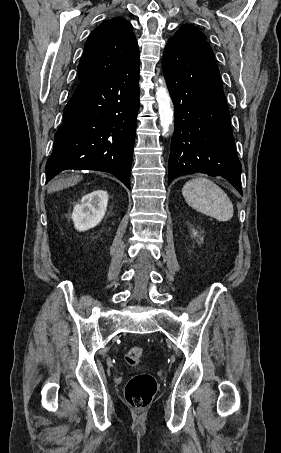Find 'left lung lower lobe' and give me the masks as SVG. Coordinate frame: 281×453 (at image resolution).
Returning <instances> with one entry per match:
<instances>
[{
	"label": "left lung lower lobe",
	"mask_w": 281,
	"mask_h": 453,
	"mask_svg": "<svg viewBox=\"0 0 281 453\" xmlns=\"http://www.w3.org/2000/svg\"><path fill=\"white\" fill-rule=\"evenodd\" d=\"M162 68L175 109L168 184L200 172L222 176L243 195L241 163L212 50L169 39Z\"/></svg>",
	"instance_id": "0a47b994"
}]
</instances>
